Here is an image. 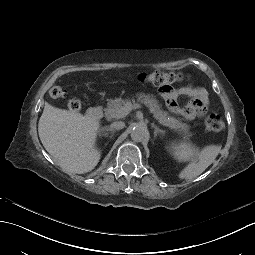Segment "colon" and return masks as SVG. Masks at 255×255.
I'll use <instances>...</instances> for the list:
<instances>
[{
	"instance_id": "5ec220e1",
	"label": "colon",
	"mask_w": 255,
	"mask_h": 255,
	"mask_svg": "<svg viewBox=\"0 0 255 255\" xmlns=\"http://www.w3.org/2000/svg\"><path fill=\"white\" fill-rule=\"evenodd\" d=\"M185 79L184 75L172 71H152L142 72L138 75V80L142 83H151L160 87L162 90H168L170 85L181 82ZM50 96L53 99H62L66 96V91L60 86H54L50 89ZM68 107L71 111H78L81 108L80 100L73 98L68 101ZM205 128L210 132H218L223 129L224 122L220 115L211 114L205 119Z\"/></svg>"
}]
</instances>
